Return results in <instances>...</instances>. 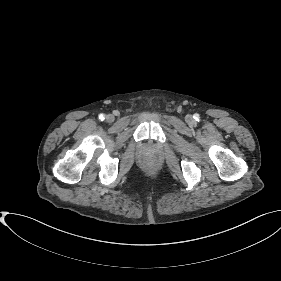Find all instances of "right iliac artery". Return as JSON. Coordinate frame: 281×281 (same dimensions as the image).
Wrapping results in <instances>:
<instances>
[{
    "instance_id": "82829eb1",
    "label": "right iliac artery",
    "mask_w": 281,
    "mask_h": 281,
    "mask_svg": "<svg viewBox=\"0 0 281 281\" xmlns=\"http://www.w3.org/2000/svg\"><path fill=\"white\" fill-rule=\"evenodd\" d=\"M99 119H100L101 121H103V120L105 119V115H104V114H100V115H99Z\"/></svg>"
}]
</instances>
